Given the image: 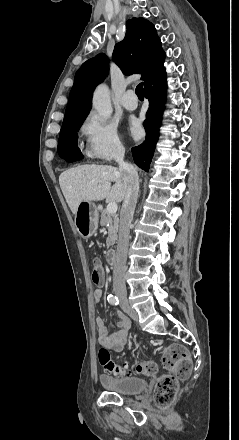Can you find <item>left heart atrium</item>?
<instances>
[{"instance_id":"obj_1","label":"left heart atrium","mask_w":239,"mask_h":440,"mask_svg":"<svg viewBox=\"0 0 239 440\" xmlns=\"http://www.w3.org/2000/svg\"><path fill=\"white\" fill-rule=\"evenodd\" d=\"M129 130L134 137H137L141 132V126L139 122L135 119L130 120L128 123Z\"/></svg>"}]
</instances>
